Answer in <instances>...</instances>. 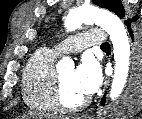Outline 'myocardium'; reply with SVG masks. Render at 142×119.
Listing matches in <instances>:
<instances>
[{"mask_svg": "<svg viewBox=\"0 0 142 119\" xmlns=\"http://www.w3.org/2000/svg\"><path fill=\"white\" fill-rule=\"evenodd\" d=\"M53 101H54L55 108L57 110H60L62 112H75V111L83 109L88 104L89 99L83 98L82 100H80L79 102L73 105L66 104L63 100L62 83H61L60 75L55 74L54 82H53Z\"/></svg>", "mask_w": 142, "mask_h": 119, "instance_id": "1", "label": "myocardium"}]
</instances>
